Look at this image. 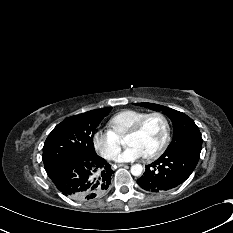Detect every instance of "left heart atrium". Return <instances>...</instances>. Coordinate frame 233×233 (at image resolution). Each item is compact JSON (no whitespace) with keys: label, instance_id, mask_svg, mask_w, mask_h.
I'll use <instances>...</instances> for the list:
<instances>
[{"label":"left heart atrium","instance_id":"1","mask_svg":"<svg viewBox=\"0 0 233 233\" xmlns=\"http://www.w3.org/2000/svg\"><path fill=\"white\" fill-rule=\"evenodd\" d=\"M146 156L141 148L135 144H129L127 147L117 155L116 160L119 162H129Z\"/></svg>","mask_w":233,"mask_h":233}]
</instances>
